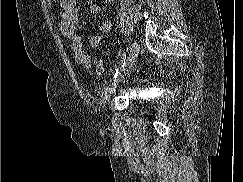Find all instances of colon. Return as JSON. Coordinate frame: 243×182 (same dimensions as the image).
<instances>
[{
	"mask_svg": "<svg viewBox=\"0 0 243 182\" xmlns=\"http://www.w3.org/2000/svg\"><path fill=\"white\" fill-rule=\"evenodd\" d=\"M94 68L98 75H103L105 73V65L101 60H96L94 62Z\"/></svg>",
	"mask_w": 243,
	"mask_h": 182,
	"instance_id": "1",
	"label": "colon"
}]
</instances>
